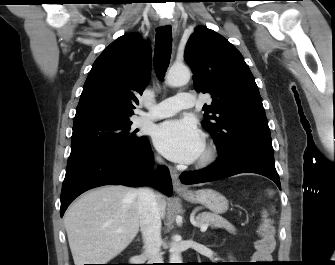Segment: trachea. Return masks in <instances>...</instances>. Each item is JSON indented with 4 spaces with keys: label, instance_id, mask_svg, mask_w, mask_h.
<instances>
[{
    "label": "trachea",
    "instance_id": "1",
    "mask_svg": "<svg viewBox=\"0 0 335 265\" xmlns=\"http://www.w3.org/2000/svg\"><path fill=\"white\" fill-rule=\"evenodd\" d=\"M172 28L163 26L156 31L154 66L159 79H163L171 59Z\"/></svg>",
    "mask_w": 335,
    "mask_h": 265
}]
</instances>
